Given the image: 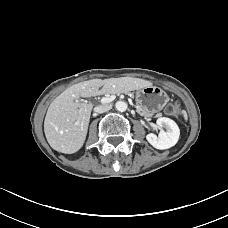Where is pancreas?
Segmentation results:
<instances>
[{
    "mask_svg": "<svg viewBox=\"0 0 228 228\" xmlns=\"http://www.w3.org/2000/svg\"><path fill=\"white\" fill-rule=\"evenodd\" d=\"M112 94H116V93H112ZM120 94H123L124 96H129L130 99H133L134 98V94L131 92V91H120ZM134 107L137 109V111L141 114H144V115H147V116H153V113H149V112H146L144 110H142L138 105L137 103H134ZM157 115H160V114H157Z\"/></svg>",
    "mask_w": 228,
    "mask_h": 228,
    "instance_id": "obj_1",
    "label": "pancreas"
}]
</instances>
